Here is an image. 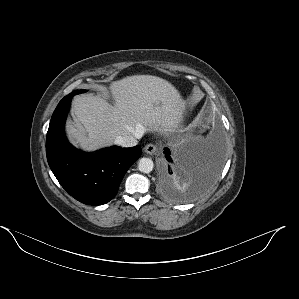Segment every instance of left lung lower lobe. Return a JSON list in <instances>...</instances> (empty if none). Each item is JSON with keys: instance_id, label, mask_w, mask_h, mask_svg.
Returning <instances> with one entry per match:
<instances>
[{"instance_id": "1", "label": "left lung lower lobe", "mask_w": 299, "mask_h": 299, "mask_svg": "<svg viewBox=\"0 0 299 299\" xmlns=\"http://www.w3.org/2000/svg\"><path fill=\"white\" fill-rule=\"evenodd\" d=\"M164 153L159 190L169 200L184 201L202 194L215 182L222 167L224 146L217 138L174 156L169 148Z\"/></svg>"}]
</instances>
